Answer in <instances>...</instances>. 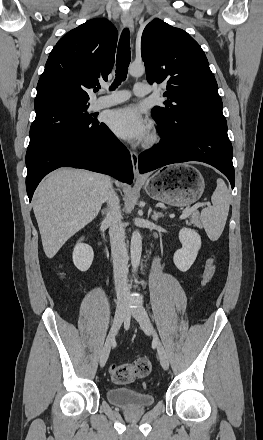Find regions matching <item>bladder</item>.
Here are the masks:
<instances>
[{
  "label": "bladder",
  "instance_id": "1",
  "mask_svg": "<svg viewBox=\"0 0 263 440\" xmlns=\"http://www.w3.org/2000/svg\"><path fill=\"white\" fill-rule=\"evenodd\" d=\"M106 397L109 402L127 411L144 410L154 403V395L129 387L108 388Z\"/></svg>",
  "mask_w": 263,
  "mask_h": 440
}]
</instances>
